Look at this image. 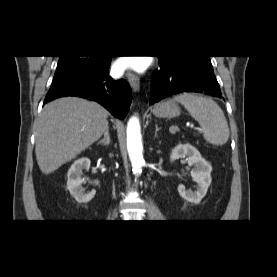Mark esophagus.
I'll return each instance as SVG.
<instances>
[{"mask_svg":"<svg viewBox=\"0 0 277 277\" xmlns=\"http://www.w3.org/2000/svg\"><path fill=\"white\" fill-rule=\"evenodd\" d=\"M126 78L130 84V86L132 87V89L134 91H139L140 89V80L139 77L133 73L132 71H127L126 72Z\"/></svg>","mask_w":277,"mask_h":277,"instance_id":"esophagus-1","label":"esophagus"}]
</instances>
